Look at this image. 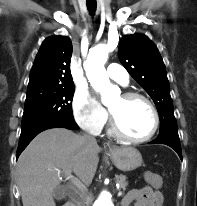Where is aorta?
<instances>
[{
  "instance_id": "aorta-1",
  "label": "aorta",
  "mask_w": 197,
  "mask_h": 206,
  "mask_svg": "<svg viewBox=\"0 0 197 206\" xmlns=\"http://www.w3.org/2000/svg\"><path fill=\"white\" fill-rule=\"evenodd\" d=\"M108 58V48L105 44H99L91 49L84 69L91 86L101 93L102 102L107 103L112 88L104 64ZM94 206H114L111 194L104 190L94 202Z\"/></svg>"
}]
</instances>
